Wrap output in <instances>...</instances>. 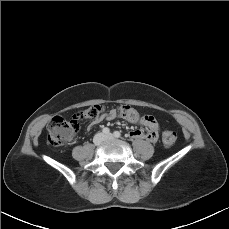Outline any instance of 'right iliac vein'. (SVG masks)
<instances>
[{
  "label": "right iliac vein",
  "mask_w": 229,
  "mask_h": 229,
  "mask_svg": "<svg viewBox=\"0 0 229 229\" xmlns=\"http://www.w3.org/2000/svg\"><path fill=\"white\" fill-rule=\"evenodd\" d=\"M105 140V136L102 133H99L95 136L94 138V143L95 144H100Z\"/></svg>",
  "instance_id": "63e3f726"
}]
</instances>
